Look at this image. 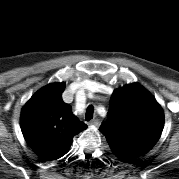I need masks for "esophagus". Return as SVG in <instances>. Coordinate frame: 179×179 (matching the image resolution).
<instances>
[{"mask_svg":"<svg viewBox=\"0 0 179 179\" xmlns=\"http://www.w3.org/2000/svg\"><path fill=\"white\" fill-rule=\"evenodd\" d=\"M92 121L95 125H100V122H101L99 118H94L92 119Z\"/></svg>","mask_w":179,"mask_h":179,"instance_id":"obj_1","label":"esophagus"}]
</instances>
